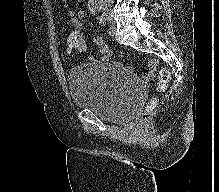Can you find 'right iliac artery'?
Instances as JSON below:
<instances>
[{
    "instance_id": "right-iliac-artery-1",
    "label": "right iliac artery",
    "mask_w": 219,
    "mask_h": 192,
    "mask_svg": "<svg viewBox=\"0 0 219 192\" xmlns=\"http://www.w3.org/2000/svg\"><path fill=\"white\" fill-rule=\"evenodd\" d=\"M97 21H98L99 25L106 26V18L103 15H99L97 17Z\"/></svg>"
}]
</instances>
